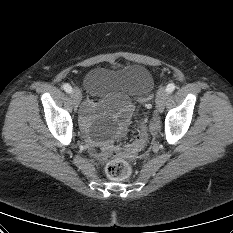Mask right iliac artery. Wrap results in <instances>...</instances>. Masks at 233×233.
<instances>
[{"label": "right iliac artery", "instance_id": "1", "mask_svg": "<svg viewBox=\"0 0 233 233\" xmlns=\"http://www.w3.org/2000/svg\"><path fill=\"white\" fill-rule=\"evenodd\" d=\"M63 89L67 92V93H71L72 92V87L69 84H64L63 85Z\"/></svg>", "mask_w": 233, "mask_h": 233}]
</instances>
